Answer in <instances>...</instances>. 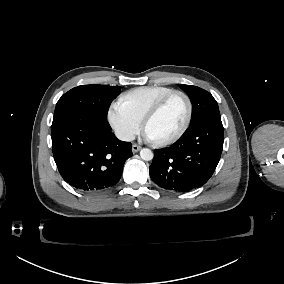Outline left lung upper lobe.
<instances>
[{
  "label": "left lung upper lobe",
  "mask_w": 284,
  "mask_h": 284,
  "mask_svg": "<svg viewBox=\"0 0 284 284\" xmlns=\"http://www.w3.org/2000/svg\"><path fill=\"white\" fill-rule=\"evenodd\" d=\"M189 96L192 103L191 124L210 117H220L218 104L214 97L204 89L191 85H178Z\"/></svg>",
  "instance_id": "obj_1"
}]
</instances>
